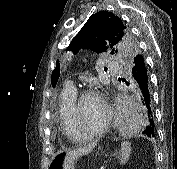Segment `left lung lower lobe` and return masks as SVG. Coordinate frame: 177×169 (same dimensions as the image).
<instances>
[{"instance_id":"obj_1","label":"left lung lower lobe","mask_w":177,"mask_h":169,"mask_svg":"<svg viewBox=\"0 0 177 169\" xmlns=\"http://www.w3.org/2000/svg\"><path fill=\"white\" fill-rule=\"evenodd\" d=\"M128 66L135 84V89L139 94V101L145 108L147 126L143 129L142 133L148 137H155L156 129L153 120L149 76L145 59L142 55L137 54L128 62Z\"/></svg>"}]
</instances>
